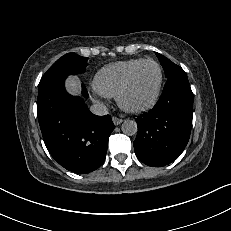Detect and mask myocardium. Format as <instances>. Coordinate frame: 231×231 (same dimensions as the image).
<instances>
[{
	"label": "myocardium",
	"mask_w": 231,
	"mask_h": 231,
	"mask_svg": "<svg viewBox=\"0 0 231 231\" xmlns=\"http://www.w3.org/2000/svg\"><path fill=\"white\" fill-rule=\"evenodd\" d=\"M147 63H153L158 69L159 80H158L156 90H155L152 98L147 103H145V104H143L141 106H137V107L129 106L125 102V94L128 91L137 70L142 65L147 64ZM163 80H164V74H163V69H162V66L160 65V63L157 62L154 59H150V58L149 59H144L141 62H139L138 64H136L130 70V72L126 76L124 82L122 83L119 91L117 92L116 101H117L118 105L120 106V108H122L123 110H125L127 112H130V113H142V112H145V111L151 109L157 103V101L159 99V96L161 94V90H162V86H163Z\"/></svg>",
	"instance_id": "1"
}]
</instances>
